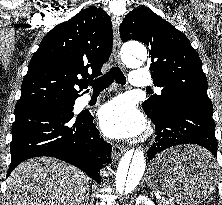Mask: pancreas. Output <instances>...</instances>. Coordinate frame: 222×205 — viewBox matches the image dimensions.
<instances>
[{
  "mask_svg": "<svg viewBox=\"0 0 222 205\" xmlns=\"http://www.w3.org/2000/svg\"><path fill=\"white\" fill-rule=\"evenodd\" d=\"M158 205H174V203L170 200H167V199H160L157 201Z\"/></svg>",
  "mask_w": 222,
  "mask_h": 205,
  "instance_id": "1",
  "label": "pancreas"
}]
</instances>
